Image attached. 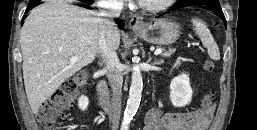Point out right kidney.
<instances>
[{
  "label": "right kidney",
  "instance_id": "ca27d5eb",
  "mask_svg": "<svg viewBox=\"0 0 257 130\" xmlns=\"http://www.w3.org/2000/svg\"><path fill=\"white\" fill-rule=\"evenodd\" d=\"M89 105V100L87 96L82 95L78 99V107L82 110L85 111Z\"/></svg>",
  "mask_w": 257,
  "mask_h": 130
}]
</instances>
